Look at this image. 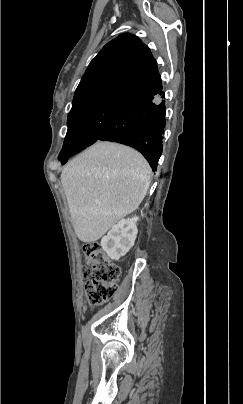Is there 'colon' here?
<instances>
[{
  "mask_svg": "<svg viewBox=\"0 0 243 404\" xmlns=\"http://www.w3.org/2000/svg\"><path fill=\"white\" fill-rule=\"evenodd\" d=\"M83 251L91 267V278L86 289L87 300L93 306H100L114 296L120 269L105 255L97 242L86 243Z\"/></svg>",
  "mask_w": 243,
  "mask_h": 404,
  "instance_id": "5ec220e1",
  "label": "colon"
}]
</instances>
